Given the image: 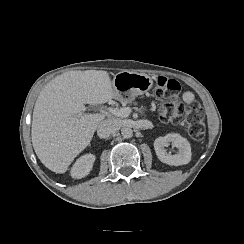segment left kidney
<instances>
[{
	"label": "left kidney",
	"mask_w": 244,
	"mask_h": 244,
	"mask_svg": "<svg viewBox=\"0 0 244 244\" xmlns=\"http://www.w3.org/2000/svg\"><path fill=\"white\" fill-rule=\"evenodd\" d=\"M170 143L179 150L177 154L172 155L165 150V147H168ZM154 149L158 159L168 165H185L191 161L190 143L178 133H169L163 137H158L154 141Z\"/></svg>",
	"instance_id": "5707ae66"
}]
</instances>
